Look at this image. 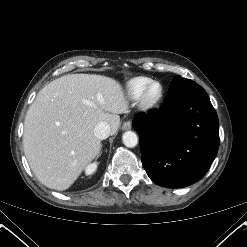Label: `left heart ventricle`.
Wrapping results in <instances>:
<instances>
[{"label":"left heart ventricle","mask_w":247,"mask_h":247,"mask_svg":"<svg viewBox=\"0 0 247 247\" xmlns=\"http://www.w3.org/2000/svg\"><path fill=\"white\" fill-rule=\"evenodd\" d=\"M157 91H158V87H153L152 89H151V92H150V94H151V96H154L156 93H157Z\"/></svg>","instance_id":"b2bd125f"}]
</instances>
